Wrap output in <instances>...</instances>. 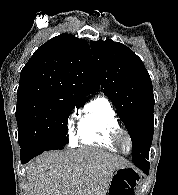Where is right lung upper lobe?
<instances>
[{
  "label": "right lung upper lobe",
  "instance_id": "right-lung-upper-lobe-1",
  "mask_svg": "<svg viewBox=\"0 0 178 195\" xmlns=\"http://www.w3.org/2000/svg\"><path fill=\"white\" fill-rule=\"evenodd\" d=\"M99 87L88 43L61 34L39 47L24 66L17 97L41 95L80 101Z\"/></svg>",
  "mask_w": 178,
  "mask_h": 195
}]
</instances>
